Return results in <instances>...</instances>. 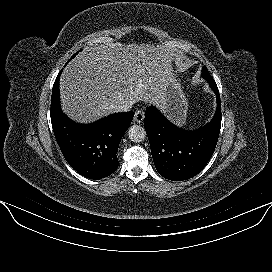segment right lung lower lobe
<instances>
[{
	"label": "right lung lower lobe",
	"mask_w": 272,
	"mask_h": 272,
	"mask_svg": "<svg viewBox=\"0 0 272 272\" xmlns=\"http://www.w3.org/2000/svg\"><path fill=\"white\" fill-rule=\"evenodd\" d=\"M57 76L51 99V123L57 143L70 166L90 179H102L118 168L120 141L134 112L114 113L92 124L71 121L61 110Z\"/></svg>",
	"instance_id": "98d812e1"
}]
</instances>
